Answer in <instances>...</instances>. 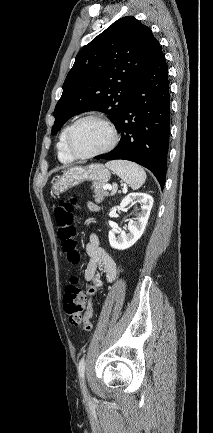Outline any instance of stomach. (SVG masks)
<instances>
[{
  "instance_id": "obj_1",
  "label": "stomach",
  "mask_w": 213,
  "mask_h": 433,
  "mask_svg": "<svg viewBox=\"0 0 213 433\" xmlns=\"http://www.w3.org/2000/svg\"><path fill=\"white\" fill-rule=\"evenodd\" d=\"M110 179V172L101 164H91L86 167H72L65 171L51 187V192L58 195L84 181H94L105 184Z\"/></svg>"
}]
</instances>
